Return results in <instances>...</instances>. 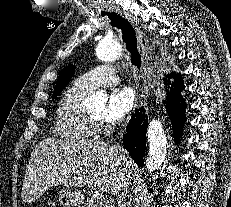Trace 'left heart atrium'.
Returning a JSON list of instances; mask_svg holds the SVG:
<instances>
[{
    "label": "left heart atrium",
    "mask_w": 231,
    "mask_h": 207,
    "mask_svg": "<svg viewBox=\"0 0 231 207\" xmlns=\"http://www.w3.org/2000/svg\"><path fill=\"white\" fill-rule=\"evenodd\" d=\"M135 104V93L131 88L123 87L111 92L106 111L105 119L108 122L122 120Z\"/></svg>",
    "instance_id": "1"
}]
</instances>
